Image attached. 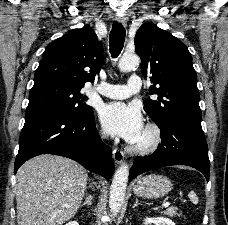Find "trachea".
Masks as SVG:
<instances>
[{"instance_id": "3493384b", "label": "trachea", "mask_w": 228, "mask_h": 225, "mask_svg": "<svg viewBox=\"0 0 228 225\" xmlns=\"http://www.w3.org/2000/svg\"><path fill=\"white\" fill-rule=\"evenodd\" d=\"M126 30L119 22H114L109 35L110 53L116 58L121 53L124 46Z\"/></svg>"}]
</instances>
